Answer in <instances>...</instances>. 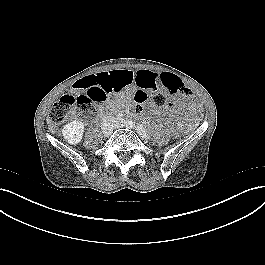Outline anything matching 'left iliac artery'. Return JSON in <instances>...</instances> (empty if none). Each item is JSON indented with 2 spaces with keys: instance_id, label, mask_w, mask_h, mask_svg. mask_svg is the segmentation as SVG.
I'll return each instance as SVG.
<instances>
[{
  "instance_id": "left-iliac-artery-1",
  "label": "left iliac artery",
  "mask_w": 265,
  "mask_h": 265,
  "mask_svg": "<svg viewBox=\"0 0 265 265\" xmlns=\"http://www.w3.org/2000/svg\"><path fill=\"white\" fill-rule=\"evenodd\" d=\"M137 131L141 137H146L148 134L142 125H137Z\"/></svg>"
}]
</instances>
